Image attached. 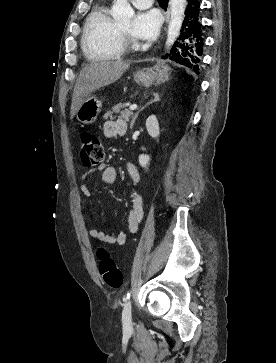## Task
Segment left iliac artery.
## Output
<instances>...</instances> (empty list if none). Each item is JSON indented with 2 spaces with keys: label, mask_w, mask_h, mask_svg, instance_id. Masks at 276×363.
Listing matches in <instances>:
<instances>
[{
  "label": "left iliac artery",
  "mask_w": 276,
  "mask_h": 363,
  "mask_svg": "<svg viewBox=\"0 0 276 363\" xmlns=\"http://www.w3.org/2000/svg\"><path fill=\"white\" fill-rule=\"evenodd\" d=\"M130 298V291L127 293V295L124 298V301H127Z\"/></svg>",
  "instance_id": "obj_1"
}]
</instances>
